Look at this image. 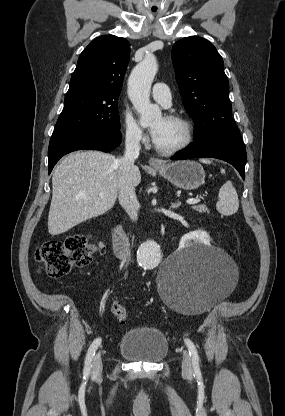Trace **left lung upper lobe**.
<instances>
[{"instance_id":"1","label":"left lung upper lobe","mask_w":285,"mask_h":416,"mask_svg":"<svg viewBox=\"0 0 285 416\" xmlns=\"http://www.w3.org/2000/svg\"><path fill=\"white\" fill-rule=\"evenodd\" d=\"M172 61L183 104L195 122L194 138L236 127L224 62L216 48L204 38L186 37L174 44Z\"/></svg>"}]
</instances>
